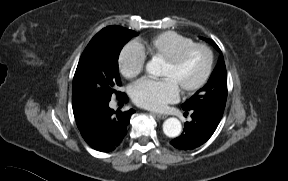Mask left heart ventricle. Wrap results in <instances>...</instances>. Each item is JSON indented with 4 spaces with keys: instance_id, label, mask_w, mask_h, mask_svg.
<instances>
[{
    "instance_id": "1",
    "label": "left heart ventricle",
    "mask_w": 288,
    "mask_h": 181,
    "mask_svg": "<svg viewBox=\"0 0 288 181\" xmlns=\"http://www.w3.org/2000/svg\"><path fill=\"white\" fill-rule=\"evenodd\" d=\"M207 65V54L202 49H194L176 66L162 63L159 76L169 78L179 89L192 86L200 80Z\"/></svg>"
}]
</instances>
